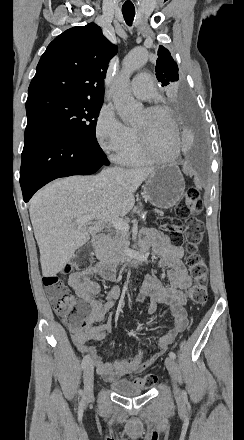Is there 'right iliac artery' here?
<instances>
[{
	"mask_svg": "<svg viewBox=\"0 0 244 440\" xmlns=\"http://www.w3.org/2000/svg\"><path fill=\"white\" fill-rule=\"evenodd\" d=\"M89 360H90V355H86V356L83 357L82 363H81L82 369H84L86 367V365L88 364ZM83 403H84V401L82 400L80 405L82 406Z\"/></svg>",
	"mask_w": 244,
	"mask_h": 440,
	"instance_id": "right-iliac-artery-1",
	"label": "right iliac artery"
}]
</instances>
